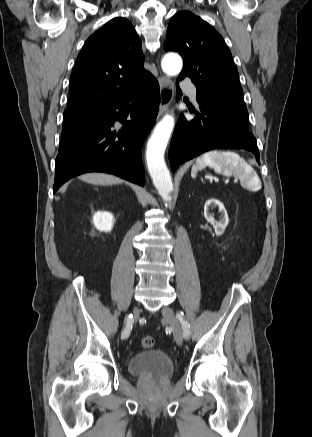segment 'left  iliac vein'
I'll list each match as a JSON object with an SVG mask.
<instances>
[{
    "label": "left iliac vein",
    "instance_id": "left-iliac-vein-1",
    "mask_svg": "<svg viewBox=\"0 0 312 437\" xmlns=\"http://www.w3.org/2000/svg\"><path fill=\"white\" fill-rule=\"evenodd\" d=\"M162 318L169 323L173 329V335L176 343L181 345L183 342V333L172 308L164 307L161 310Z\"/></svg>",
    "mask_w": 312,
    "mask_h": 437
}]
</instances>
